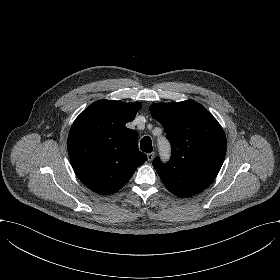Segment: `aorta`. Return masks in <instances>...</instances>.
Wrapping results in <instances>:
<instances>
[{
  "instance_id": "obj_1",
  "label": "aorta",
  "mask_w": 280,
  "mask_h": 280,
  "mask_svg": "<svg viewBox=\"0 0 280 280\" xmlns=\"http://www.w3.org/2000/svg\"><path fill=\"white\" fill-rule=\"evenodd\" d=\"M161 159L167 161L170 158V145L167 141L163 140L159 143Z\"/></svg>"
}]
</instances>
